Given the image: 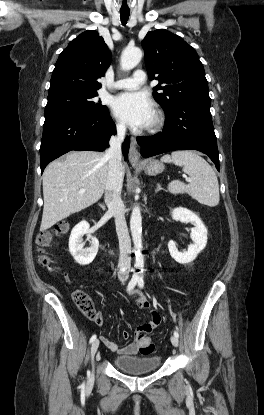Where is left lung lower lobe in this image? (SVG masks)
<instances>
[{"label":"left lung lower lobe","instance_id":"obj_1","mask_svg":"<svg viewBox=\"0 0 264 415\" xmlns=\"http://www.w3.org/2000/svg\"><path fill=\"white\" fill-rule=\"evenodd\" d=\"M162 132L137 137L143 157L173 150L194 149L207 154L219 171V152L210 113V101L187 100L165 112Z\"/></svg>","mask_w":264,"mask_h":415}]
</instances>
